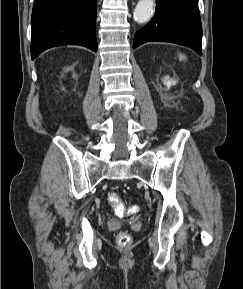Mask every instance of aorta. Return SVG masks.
Masks as SVG:
<instances>
[{"label":"aorta","mask_w":243,"mask_h":289,"mask_svg":"<svg viewBox=\"0 0 243 289\" xmlns=\"http://www.w3.org/2000/svg\"><path fill=\"white\" fill-rule=\"evenodd\" d=\"M154 8V0H139L134 10V19L137 23L148 21Z\"/></svg>","instance_id":"1"}]
</instances>
